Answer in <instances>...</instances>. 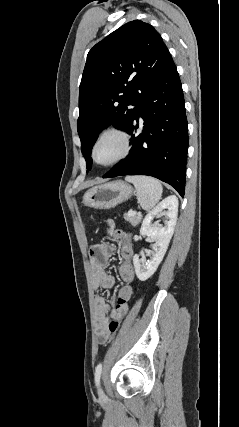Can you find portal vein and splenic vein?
<instances>
[{
	"label": "portal vein and splenic vein",
	"instance_id": "18ae733b",
	"mask_svg": "<svg viewBox=\"0 0 239 427\" xmlns=\"http://www.w3.org/2000/svg\"><path fill=\"white\" fill-rule=\"evenodd\" d=\"M136 214V212L134 211V210H130L129 212H128V215L129 216H134Z\"/></svg>",
	"mask_w": 239,
	"mask_h": 427
}]
</instances>
